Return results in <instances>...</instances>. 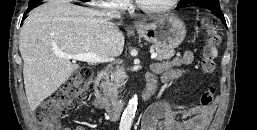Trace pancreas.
I'll return each instance as SVG.
<instances>
[{"label":"pancreas","instance_id":"cf45deb5","mask_svg":"<svg viewBox=\"0 0 257 130\" xmlns=\"http://www.w3.org/2000/svg\"><path fill=\"white\" fill-rule=\"evenodd\" d=\"M151 49L155 50L157 53V60H169L172 58L175 54L174 49L172 48H163L159 46H151ZM126 78V74L123 69H118L113 75H112V87L114 90V93L117 94V89L124 84V79Z\"/></svg>","mask_w":257,"mask_h":130}]
</instances>
